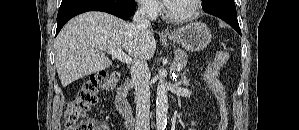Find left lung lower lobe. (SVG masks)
I'll list each match as a JSON object with an SVG mask.
<instances>
[{
  "label": "left lung lower lobe",
  "mask_w": 299,
  "mask_h": 130,
  "mask_svg": "<svg viewBox=\"0 0 299 130\" xmlns=\"http://www.w3.org/2000/svg\"><path fill=\"white\" fill-rule=\"evenodd\" d=\"M203 10L221 18L241 35L234 0H205Z\"/></svg>",
  "instance_id": "1"
}]
</instances>
